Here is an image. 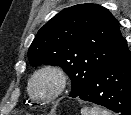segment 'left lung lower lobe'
Masks as SVG:
<instances>
[{
	"instance_id": "obj_1",
	"label": "left lung lower lobe",
	"mask_w": 131,
	"mask_h": 115,
	"mask_svg": "<svg viewBox=\"0 0 131 115\" xmlns=\"http://www.w3.org/2000/svg\"><path fill=\"white\" fill-rule=\"evenodd\" d=\"M119 115H131V53L127 50L101 70L77 96Z\"/></svg>"
}]
</instances>
